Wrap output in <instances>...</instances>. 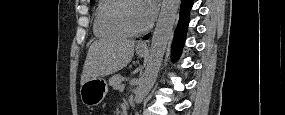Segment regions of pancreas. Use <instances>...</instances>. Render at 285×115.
Instances as JSON below:
<instances>
[{
  "label": "pancreas",
  "mask_w": 285,
  "mask_h": 115,
  "mask_svg": "<svg viewBox=\"0 0 285 115\" xmlns=\"http://www.w3.org/2000/svg\"><path fill=\"white\" fill-rule=\"evenodd\" d=\"M125 80V77L121 76L120 74L114 75L109 78V85L113 87V89H119L121 83Z\"/></svg>",
  "instance_id": "obj_1"
}]
</instances>
